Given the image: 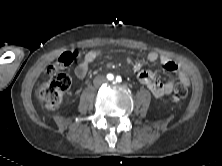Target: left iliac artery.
<instances>
[{
  "label": "left iliac artery",
  "instance_id": "obj_1",
  "mask_svg": "<svg viewBox=\"0 0 222 166\" xmlns=\"http://www.w3.org/2000/svg\"><path fill=\"white\" fill-rule=\"evenodd\" d=\"M121 81H122L121 77H120V76H117V77H116V82H121Z\"/></svg>",
  "mask_w": 222,
  "mask_h": 166
}]
</instances>
